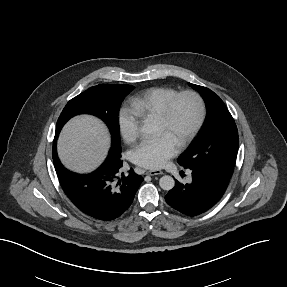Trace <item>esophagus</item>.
<instances>
[{
	"instance_id": "esophagus-1",
	"label": "esophagus",
	"mask_w": 287,
	"mask_h": 287,
	"mask_svg": "<svg viewBox=\"0 0 287 287\" xmlns=\"http://www.w3.org/2000/svg\"><path fill=\"white\" fill-rule=\"evenodd\" d=\"M146 175L154 176V175H160L163 174L160 170H148L145 172Z\"/></svg>"
}]
</instances>
